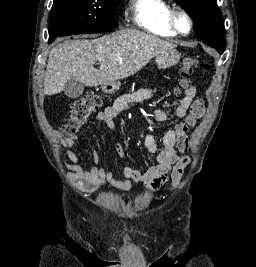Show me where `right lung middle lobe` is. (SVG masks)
Returning a JSON list of instances; mask_svg holds the SVG:
<instances>
[{"label":"right lung middle lobe","mask_w":256,"mask_h":267,"mask_svg":"<svg viewBox=\"0 0 256 267\" xmlns=\"http://www.w3.org/2000/svg\"><path fill=\"white\" fill-rule=\"evenodd\" d=\"M122 0H53L49 43L58 36L95 33L117 26L113 15Z\"/></svg>","instance_id":"1"}]
</instances>
